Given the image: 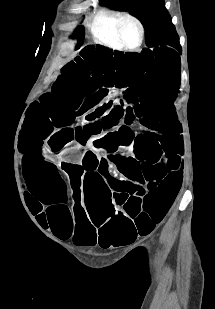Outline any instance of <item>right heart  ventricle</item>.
Returning a JSON list of instances; mask_svg holds the SVG:
<instances>
[{
  "instance_id": "1",
  "label": "right heart ventricle",
  "mask_w": 215,
  "mask_h": 309,
  "mask_svg": "<svg viewBox=\"0 0 215 309\" xmlns=\"http://www.w3.org/2000/svg\"><path fill=\"white\" fill-rule=\"evenodd\" d=\"M120 15L119 12H107L99 14L98 19L93 20L96 28L92 29L93 39L96 43L103 45L109 49L121 48V43L117 40L112 30H116L117 25L113 21Z\"/></svg>"
}]
</instances>
